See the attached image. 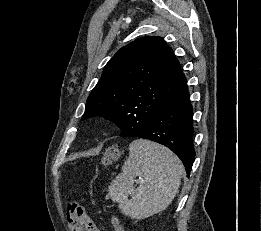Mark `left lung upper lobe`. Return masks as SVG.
I'll list each match as a JSON object with an SVG mask.
<instances>
[{
	"label": "left lung upper lobe",
	"instance_id": "obj_1",
	"mask_svg": "<svg viewBox=\"0 0 261 231\" xmlns=\"http://www.w3.org/2000/svg\"><path fill=\"white\" fill-rule=\"evenodd\" d=\"M186 87L180 64L166 42L157 36L139 38L106 64L82 120L98 115L122 131L142 130Z\"/></svg>",
	"mask_w": 261,
	"mask_h": 231
}]
</instances>
